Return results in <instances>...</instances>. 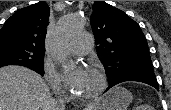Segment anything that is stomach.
<instances>
[{
  "label": "stomach",
  "instance_id": "0dacf381",
  "mask_svg": "<svg viewBox=\"0 0 171 110\" xmlns=\"http://www.w3.org/2000/svg\"><path fill=\"white\" fill-rule=\"evenodd\" d=\"M132 99L128 90L115 87L108 91L95 110H127Z\"/></svg>",
  "mask_w": 171,
  "mask_h": 110
}]
</instances>
